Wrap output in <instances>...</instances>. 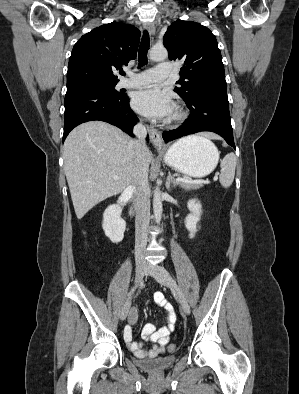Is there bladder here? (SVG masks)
<instances>
[{"label": "bladder", "mask_w": 299, "mask_h": 394, "mask_svg": "<svg viewBox=\"0 0 299 394\" xmlns=\"http://www.w3.org/2000/svg\"><path fill=\"white\" fill-rule=\"evenodd\" d=\"M176 361V355L159 356L149 359L135 358V364L149 373H161L170 368Z\"/></svg>", "instance_id": "bladder-1"}]
</instances>
